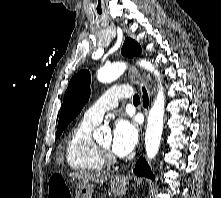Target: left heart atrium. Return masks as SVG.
<instances>
[{"label": "left heart atrium", "mask_w": 221, "mask_h": 198, "mask_svg": "<svg viewBox=\"0 0 221 198\" xmlns=\"http://www.w3.org/2000/svg\"><path fill=\"white\" fill-rule=\"evenodd\" d=\"M137 140L138 130L136 125L125 119L117 120L112 132V151L117 156H126L134 149Z\"/></svg>", "instance_id": "obj_1"}]
</instances>
